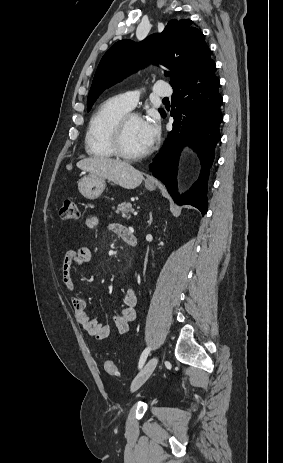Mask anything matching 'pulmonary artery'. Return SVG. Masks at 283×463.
Listing matches in <instances>:
<instances>
[{
	"label": "pulmonary artery",
	"instance_id": "e3ab8cb5",
	"mask_svg": "<svg viewBox=\"0 0 283 463\" xmlns=\"http://www.w3.org/2000/svg\"><path fill=\"white\" fill-rule=\"evenodd\" d=\"M152 92L157 97L168 98L172 94V89L165 82H156L152 87ZM118 97L127 109L132 110L136 106L140 95L138 91L134 90L122 93Z\"/></svg>",
	"mask_w": 283,
	"mask_h": 463
}]
</instances>
